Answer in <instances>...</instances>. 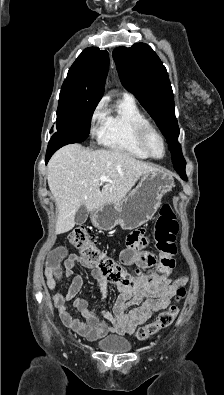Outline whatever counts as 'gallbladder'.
<instances>
[{
    "instance_id": "1",
    "label": "gallbladder",
    "mask_w": 224,
    "mask_h": 395,
    "mask_svg": "<svg viewBox=\"0 0 224 395\" xmlns=\"http://www.w3.org/2000/svg\"><path fill=\"white\" fill-rule=\"evenodd\" d=\"M88 217V210L85 204L81 205L75 214V224L82 225L86 222Z\"/></svg>"
}]
</instances>
